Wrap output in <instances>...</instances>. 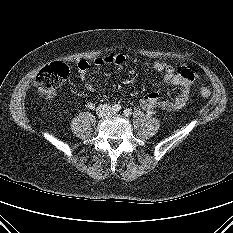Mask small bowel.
<instances>
[{"mask_svg": "<svg viewBox=\"0 0 233 233\" xmlns=\"http://www.w3.org/2000/svg\"><path fill=\"white\" fill-rule=\"evenodd\" d=\"M125 59L123 54L117 53L97 58L92 64L80 62L79 69L81 78L85 79L86 72L92 67H102L108 64L121 65ZM152 67L156 72L163 75V81L166 84L180 86L181 90L171 99L162 97L158 93L150 92L141 99L140 106L148 112L155 109L176 111L182 108L188 99L190 85L196 79L195 75L186 67L174 68L160 61L153 62ZM85 86L90 91L95 89V84L91 80H87Z\"/></svg>", "mask_w": 233, "mask_h": 233, "instance_id": "obj_1", "label": "small bowel"}]
</instances>
